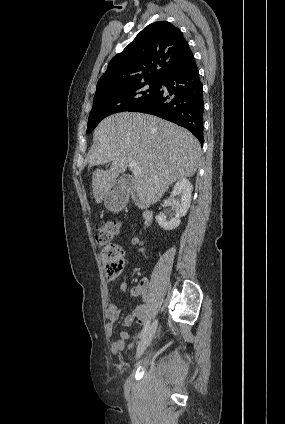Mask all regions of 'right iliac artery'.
Listing matches in <instances>:
<instances>
[{"label":"right iliac artery","mask_w":285,"mask_h":424,"mask_svg":"<svg viewBox=\"0 0 285 424\" xmlns=\"http://www.w3.org/2000/svg\"><path fill=\"white\" fill-rule=\"evenodd\" d=\"M149 326H150V321L148 320L147 322H146V324L144 325V328L142 329V331H141V334H140V338L141 337H143L144 335H145V333L147 332V330L149 329Z\"/></svg>","instance_id":"82829eb1"}]
</instances>
